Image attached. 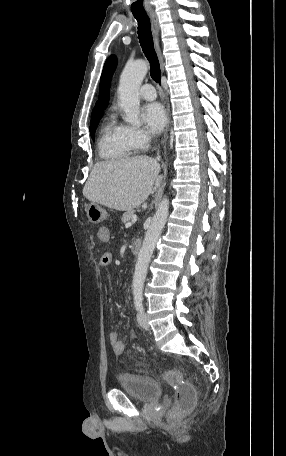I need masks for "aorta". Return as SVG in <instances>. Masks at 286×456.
I'll return each instance as SVG.
<instances>
[{
    "label": "aorta",
    "instance_id": "obj_1",
    "mask_svg": "<svg viewBox=\"0 0 286 456\" xmlns=\"http://www.w3.org/2000/svg\"><path fill=\"white\" fill-rule=\"evenodd\" d=\"M148 71V65L144 60H137L127 64L121 74L118 96L119 106L125 112L124 120L132 125H140V98L139 88ZM169 213V199L164 197L160 202L151 225L145 235L142 247L139 251L135 271L133 275V291H142L147 275L149 262L156 243L165 226Z\"/></svg>",
    "mask_w": 286,
    "mask_h": 456
}]
</instances>
